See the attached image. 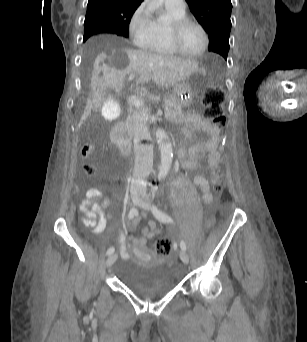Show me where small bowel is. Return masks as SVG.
Here are the masks:
<instances>
[{
  "label": "small bowel",
  "instance_id": "obj_1",
  "mask_svg": "<svg viewBox=\"0 0 307 342\" xmlns=\"http://www.w3.org/2000/svg\"><path fill=\"white\" fill-rule=\"evenodd\" d=\"M197 132L207 135V138L196 142L188 148H182L179 156L182 160V166L185 169L200 168V161L207 155L209 164L219 163L220 154L217 150L219 145L220 130L209 120L200 116H194L189 128L186 131L188 139H193ZM194 183L201 189L204 204L212 201V195L208 181L202 176L194 177ZM109 201L102 192L96 188H90L86 191L85 199L80 205L84 214L83 222L92 229L94 234H101L106 229V223L111 219V215L105 214V208ZM140 216L132 222L125 225V230H134L140 220ZM159 234V228L154 221L149 222V227H145L141 237H128L126 232L121 231L118 235V245L120 254L123 258H128L133 251H143L146 249L148 240L153 239Z\"/></svg>",
  "mask_w": 307,
  "mask_h": 342
}]
</instances>
